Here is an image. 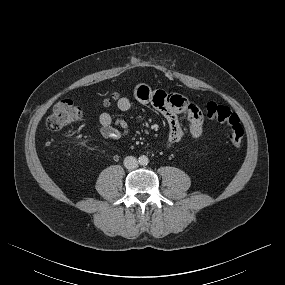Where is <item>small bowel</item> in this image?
<instances>
[{"mask_svg": "<svg viewBox=\"0 0 285 285\" xmlns=\"http://www.w3.org/2000/svg\"><path fill=\"white\" fill-rule=\"evenodd\" d=\"M134 98L143 105H152L165 118L169 126V135L164 144L166 149H172L186 136L198 138L203 131L204 116L201 109L180 94H169L163 90H152L145 84H139L134 89ZM132 106L129 97L117 99L120 111H128ZM188 120V127H183L179 116ZM99 133L107 139L119 140L129 133V124L123 118H114L109 112L99 116Z\"/></svg>", "mask_w": 285, "mask_h": 285, "instance_id": "1", "label": "small bowel"}]
</instances>
